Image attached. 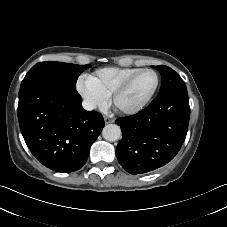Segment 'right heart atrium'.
I'll return each instance as SVG.
<instances>
[{
	"instance_id": "1",
	"label": "right heart atrium",
	"mask_w": 227,
	"mask_h": 227,
	"mask_svg": "<svg viewBox=\"0 0 227 227\" xmlns=\"http://www.w3.org/2000/svg\"><path fill=\"white\" fill-rule=\"evenodd\" d=\"M77 90L90 108L103 109L109 101V96L89 78L80 79L77 83Z\"/></svg>"
}]
</instances>
